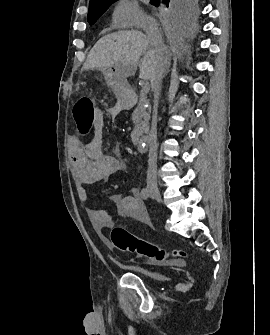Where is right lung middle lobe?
Instances as JSON below:
<instances>
[{"mask_svg":"<svg viewBox=\"0 0 270 335\" xmlns=\"http://www.w3.org/2000/svg\"><path fill=\"white\" fill-rule=\"evenodd\" d=\"M168 2L170 0H167ZM200 0H173L170 6L169 18L175 24L184 26L192 22L198 15ZM160 0H151V4L159 6ZM165 3V2H164ZM112 3H105L96 6H89L88 22L90 25L94 24L100 16L108 9Z\"/></svg>","mask_w":270,"mask_h":335,"instance_id":"obj_1","label":"right lung middle lobe"}]
</instances>
